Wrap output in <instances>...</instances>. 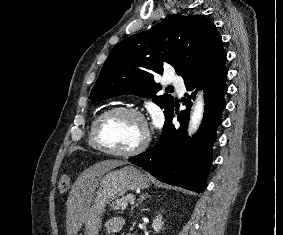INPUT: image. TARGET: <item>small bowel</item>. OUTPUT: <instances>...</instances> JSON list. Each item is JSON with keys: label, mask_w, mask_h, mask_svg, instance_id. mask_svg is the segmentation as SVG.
<instances>
[{"label": "small bowel", "mask_w": 283, "mask_h": 235, "mask_svg": "<svg viewBox=\"0 0 283 235\" xmlns=\"http://www.w3.org/2000/svg\"><path fill=\"white\" fill-rule=\"evenodd\" d=\"M122 225H123L122 219L119 218V217H115V218L110 219L107 222L106 227H107V230L110 233H117V232H119L121 230Z\"/></svg>", "instance_id": "c3829d8e"}]
</instances>
